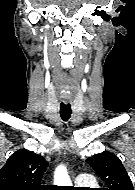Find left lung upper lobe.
<instances>
[{"mask_svg":"<svg viewBox=\"0 0 135 190\" xmlns=\"http://www.w3.org/2000/svg\"><path fill=\"white\" fill-rule=\"evenodd\" d=\"M86 161L106 183L107 188L104 190H134L128 173L115 154L102 152Z\"/></svg>","mask_w":135,"mask_h":190,"instance_id":"5c2ea615","label":"left lung upper lobe"}]
</instances>
